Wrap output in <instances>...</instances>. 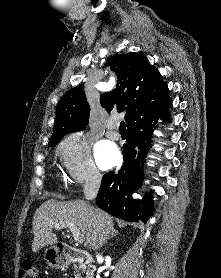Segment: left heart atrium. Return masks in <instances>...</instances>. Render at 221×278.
I'll return each mask as SVG.
<instances>
[{
  "label": "left heart atrium",
  "mask_w": 221,
  "mask_h": 278,
  "mask_svg": "<svg viewBox=\"0 0 221 278\" xmlns=\"http://www.w3.org/2000/svg\"><path fill=\"white\" fill-rule=\"evenodd\" d=\"M95 159L101 169L114 166L120 159V153L116 145L110 141H100L95 146Z\"/></svg>",
  "instance_id": "left-heart-atrium-1"
}]
</instances>
